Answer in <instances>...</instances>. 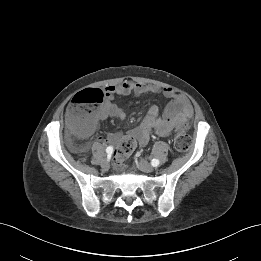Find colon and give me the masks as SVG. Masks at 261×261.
Instances as JSON below:
<instances>
[{
  "mask_svg": "<svg viewBox=\"0 0 261 261\" xmlns=\"http://www.w3.org/2000/svg\"><path fill=\"white\" fill-rule=\"evenodd\" d=\"M104 97L105 93L102 90L93 89L80 93L72 100L68 107V115L69 123L76 133H84L92 127L96 106L103 101ZM191 142L185 124H177L174 134V147L178 151H186L189 149ZM135 147L136 142L133 138H123L115 154L116 160H125L134 151Z\"/></svg>",
  "mask_w": 261,
  "mask_h": 261,
  "instance_id": "5ec220e1",
  "label": "colon"
}]
</instances>
